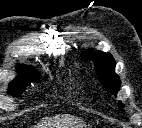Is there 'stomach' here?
<instances>
[{"label": "stomach", "instance_id": "1", "mask_svg": "<svg viewBox=\"0 0 142 128\" xmlns=\"http://www.w3.org/2000/svg\"><path fill=\"white\" fill-rule=\"evenodd\" d=\"M79 128H86L84 125H80Z\"/></svg>", "mask_w": 142, "mask_h": 128}]
</instances>
